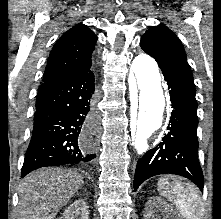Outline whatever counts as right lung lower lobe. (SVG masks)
<instances>
[{"label":"right lung lower lobe","instance_id":"1","mask_svg":"<svg viewBox=\"0 0 221 219\" xmlns=\"http://www.w3.org/2000/svg\"><path fill=\"white\" fill-rule=\"evenodd\" d=\"M91 65L40 85L21 177L41 167L74 165L96 157L91 148L82 147L86 140L93 145L95 137Z\"/></svg>","mask_w":221,"mask_h":219}]
</instances>
